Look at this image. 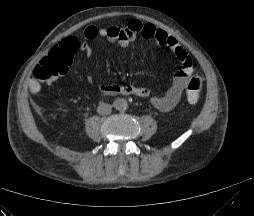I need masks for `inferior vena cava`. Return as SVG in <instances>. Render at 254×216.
<instances>
[{"label": "inferior vena cava", "instance_id": "inferior-vena-cava-1", "mask_svg": "<svg viewBox=\"0 0 254 216\" xmlns=\"http://www.w3.org/2000/svg\"><path fill=\"white\" fill-rule=\"evenodd\" d=\"M111 111H112V106L108 103H100L97 108V112L100 115H108L111 113Z\"/></svg>", "mask_w": 254, "mask_h": 216}]
</instances>
